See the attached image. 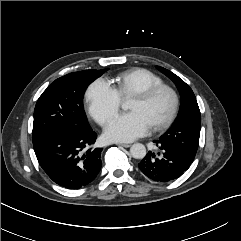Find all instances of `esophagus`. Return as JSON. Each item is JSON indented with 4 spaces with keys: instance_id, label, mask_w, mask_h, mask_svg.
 Here are the masks:
<instances>
[{
    "instance_id": "34e87169",
    "label": "esophagus",
    "mask_w": 241,
    "mask_h": 241,
    "mask_svg": "<svg viewBox=\"0 0 241 241\" xmlns=\"http://www.w3.org/2000/svg\"><path fill=\"white\" fill-rule=\"evenodd\" d=\"M117 145L128 148L131 146V144H127V143H118Z\"/></svg>"
}]
</instances>
